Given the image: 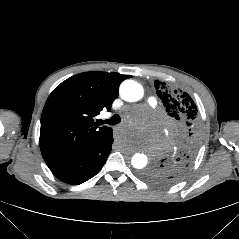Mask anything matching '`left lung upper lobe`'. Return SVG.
Returning a JSON list of instances; mask_svg holds the SVG:
<instances>
[{
  "label": "left lung upper lobe",
  "instance_id": "obj_1",
  "mask_svg": "<svg viewBox=\"0 0 239 239\" xmlns=\"http://www.w3.org/2000/svg\"><path fill=\"white\" fill-rule=\"evenodd\" d=\"M154 85L174 122L176 141L169 157L145 171L143 178L156 186H169L182 179L194 161L200 142V120L197 106L188 93L158 80Z\"/></svg>",
  "mask_w": 239,
  "mask_h": 239
}]
</instances>
